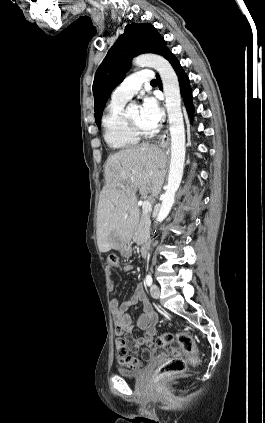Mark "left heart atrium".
Returning <instances> with one entry per match:
<instances>
[{"mask_svg": "<svg viewBox=\"0 0 265 423\" xmlns=\"http://www.w3.org/2000/svg\"><path fill=\"white\" fill-rule=\"evenodd\" d=\"M140 112L141 119L147 128H156L164 115L158 101L150 96L144 98Z\"/></svg>", "mask_w": 265, "mask_h": 423, "instance_id": "left-heart-atrium-1", "label": "left heart atrium"}]
</instances>
